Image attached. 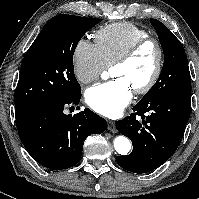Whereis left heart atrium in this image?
<instances>
[{"instance_id": "1", "label": "left heart atrium", "mask_w": 199, "mask_h": 199, "mask_svg": "<svg viewBox=\"0 0 199 199\" xmlns=\"http://www.w3.org/2000/svg\"><path fill=\"white\" fill-rule=\"evenodd\" d=\"M131 98V87L123 78L97 84L85 93V101L91 109L111 118L121 115Z\"/></svg>"}]
</instances>
